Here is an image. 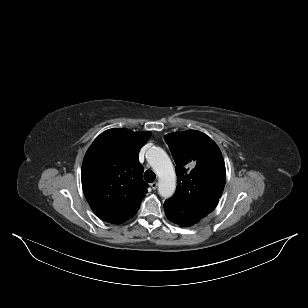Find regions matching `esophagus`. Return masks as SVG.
Segmentation results:
<instances>
[{
  "label": "esophagus",
  "mask_w": 308,
  "mask_h": 308,
  "mask_svg": "<svg viewBox=\"0 0 308 308\" xmlns=\"http://www.w3.org/2000/svg\"><path fill=\"white\" fill-rule=\"evenodd\" d=\"M150 186H151V188L153 190H155V189H157L158 183L157 182H153V183L150 184Z\"/></svg>",
  "instance_id": "34e87169"
}]
</instances>
